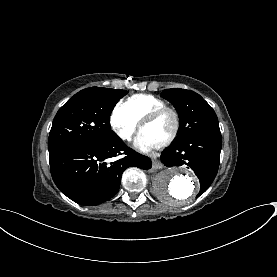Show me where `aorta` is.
Wrapping results in <instances>:
<instances>
[{
	"label": "aorta",
	"mask_w": 277,
	"mask_h": 277,
	"mask_svg": "<svg viewBox=\"0 0 277 277\" xmlns=\"http://www.w3.org/2000/svg\"><path fill=\"white\" fill-rule=\"evenodd\" d=\"M197 177L187 169L168 168L162 170L154 180L155 193L166 203H186L199 191Z\"/></svg>",
	"instance_id": "aorta-1"
}]
</instances>
